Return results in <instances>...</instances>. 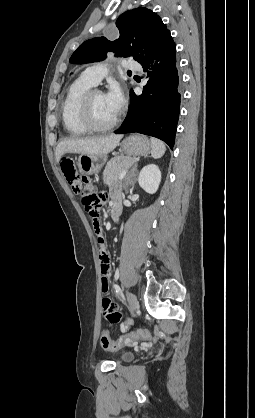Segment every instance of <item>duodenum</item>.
Here are the masks:
<instances>
[{
  "mask_svg": "<svg viewBox=\"0 0 255 418\" xmlns=\"http://www.w3.org/2000/svg\"><path fill=\"white\" fill-rule=\"evenodd\" d=\"M119 214H120V209L119 208H114L113 211H112L113 218L117 219Z\"/></svg>",
  "mask_w": 255,
  "mask_h": 418,
  "instance_id": "obj_1",
  "label": "duodenum"
}]
</instances>
